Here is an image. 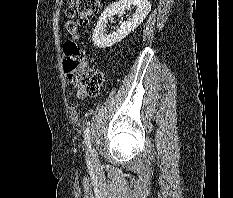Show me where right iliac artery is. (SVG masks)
<instances>
[{
    "label": "right iliac artery",
    "mask_w": 233,
    "mask_h": 198,
    "mask_svg": "<svg viewBox=\"0 0 233 198\" xmlns=\"http://www.w3.org/2000/svg\"><path fill=\"white\" fill-rule=\"evenodd\" d=\"M84 138H85V144L87 146L88 152L90 153V156H94L92 146H91V142H90V130H89V128H87L85 130Z\"/></svg>",
    "instance_id": "82829eb1"
}]
</instances>
